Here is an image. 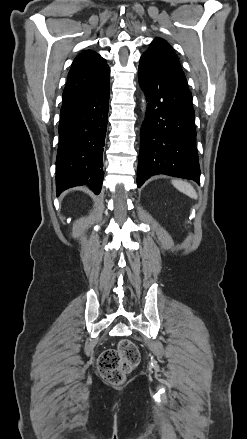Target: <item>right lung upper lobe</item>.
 <instances>
[{
    "instance_id": "right-lung-upper-lobe-1",
    "label": "right lung upper lobe",
    "mask_w": 247,
    "mask_h": 439,
    "mask_svg": "<svg viewBox=\"0 0 247 439\" xmlns=\"http://www.w3.org/2000/svg\"><path fill=\"white\" fill-rule=\"evenodd\" d=\"M110 69L99 54L87 50L76 56L68 73L63 99L98 90L109 83Z\"/></svg>"
}]
</instances>
